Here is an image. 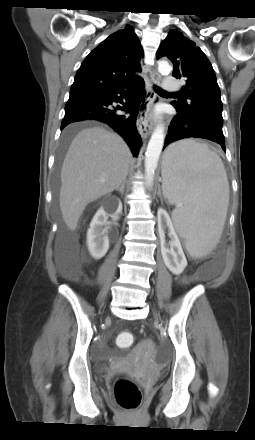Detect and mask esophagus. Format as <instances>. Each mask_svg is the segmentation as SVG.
Segmentation results:
<instances>
[{
    "mask_svg": "<svg viewBox=\"0 0 255 440\" xmlns=\"http://www.w3.org/2000/svg\"><path fill=\"white\" fill-rule=\"evenodd\" d=\"M160 80V74L156 71H151V79L147 88L146 97L140 105L137 116V128L143 138H145L154 127L153 106L158 103L159 98L153 90V85L159 84Z\"/></svg>",
    "mask_w": 255,
    "mask_h": 440,
    "instance_id": "esophagus-1",
    "label": "esophagus"
}]
</instances>
